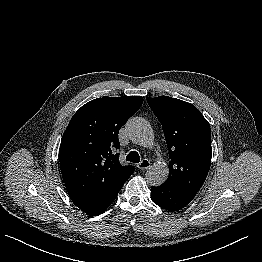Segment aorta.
<instances>
[{
	"instance_id": "1",
	"label": "aorta",
	"mask_w": 262,
	"mask_h": 262,
	"mask_svg": "<svg viewBox=\"0 0 262 262\" xmlns=\"http://www.w3.org/2000/svg\"><path fill=\"white\" fill-rule=\"evenodd\" d=\"M130 139L143 147H151L154 144V133L150 124L142 118H132L126 124ZM169 168L163 161L155 162L148 168L145 179L151 186H160L168 178Z\"/></svg>"
}]
</instances>
